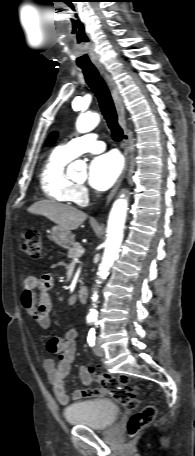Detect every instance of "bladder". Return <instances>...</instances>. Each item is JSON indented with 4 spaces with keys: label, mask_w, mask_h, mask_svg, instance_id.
<instances>
[{
    "label": "bladder",
    "mask_w": 195,
    "mask_h": 456,
    "mask_svg": "<svg viewBox=\"0 0 195 456\" xmlns=\"http://www.w3.org/2000/svg\"><path fill=\"white\" fill-rule=\"evenodd\" d=\"M120 413L115 402L101 399L72 404L64 410V417L70 425L105 430L117 421Z\"/></svg>",
    "instance_id": "bladder-1"
}]
</instances>
